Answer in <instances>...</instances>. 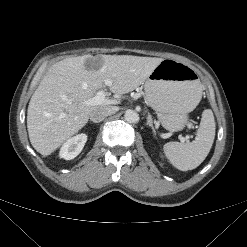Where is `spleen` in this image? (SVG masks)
Instances as JSON below:
<instances>
[{"instance_id":"3e777b00","label":"spleen","mask_w":247,"mask_h":247,"mask_svg":"<svg viewBox=\"0 0 247 247\" xmlns=\"http://www.w3.org/2000/svg\"><path fill=\"white\" fill-rule=\"evenodd\" d=\"M215 138L212 110H204L196 138L190 143L168 142L163 151L170 163L181 171L197 168L207 157Z\"/></svg>"}]
</instances>
